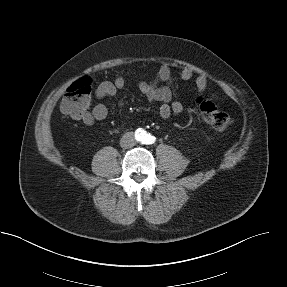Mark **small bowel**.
I'll return each mask as SVG.
<instances>
[{"instance_id":"1","label":"small bowel","mask_w":287,"mask_h":287,"mask_svg":"<svg viewBox=\"0 0 287 287\" xmlns=\"http://www.w3.org/2000/svg\"><path fill=\"white\" fill-rule=\"evenodd\" d=\"M194 77V72L189 68H183L178 74L180 81H188ZM175 80L174 69L169 64H163L158 70L156 78L152 82L139 81V91L152 102L159 104V115L163 119L169 118L172 114H179L184 110L183 104L173 99L172 84ZM197 92L202 94L207 89V77L199 74L195 77ZM125 88V79L118 76L114 81H105L99 84L95 91L97 100H104L114 97L118 92ZM108 115L107 107L96 104L91 110L87 111L81 121L92 126L96 121L104 120Z\"/></svg>"}]
</instances>
